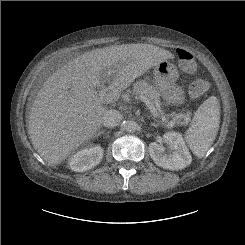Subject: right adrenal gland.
Returning <instances> with one entry per match:
<instances>
[{
	"mask_svg": "<svg viewBox=\"0 0 245 245\" xmlns=\"http://www.w3.org/2000/svg\"><path fill=\"white\" fill-rule=\"evenodd\" d=\"M106 132V130L103 131H99L94 137L98 138L99 136H101L102 134H104Z\"/></svg>",
	"mask_w": 245,
	"mask_h": 245,
	"instance_id": "right-adrenal-gland-1",
	"label": "right adrenal gland"
}]
</instances>
